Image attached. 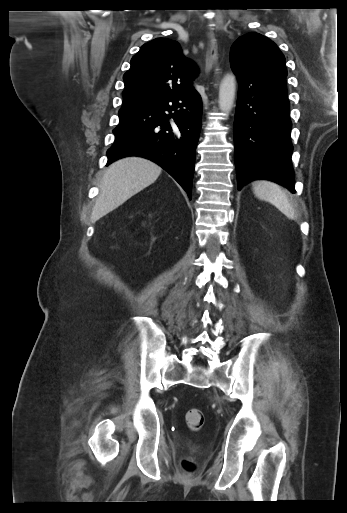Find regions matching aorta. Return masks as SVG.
Returning a JSON list of instances; mask_svg holds the SVG:
<instances>
[{"mask_svg":"<svg viewBox=\"0 0 347 513\" xmlns=\"http://www.w3.org/2000/svg\"><path fill=\"white\" fill-rule=\"evenodd\" d=\"M236 90L235 76L227 74L221 81L219 89V107L224 113H229L234 105Z\"/></svg>","mask_w":347,"mask_h":513,"instance_id":"762f6f07","label":"aorta"}]
</instances>
